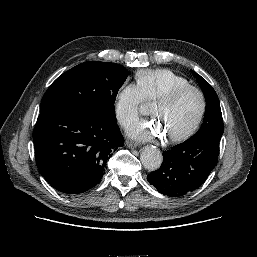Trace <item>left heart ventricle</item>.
I'll use <instances>...</instances> for the list:
<instances>
[{"label": "left heart ventricle", "mask_w": 257, "mask_h": 257, "mask_svg": "<svg viewBox=\"0 0 257 257\" xmlns=\"http://www.w3.org/2000/svg\"><path fill=\"white\" fill-rule=\"evenodd\" d=\"M200 109L196 93L188 92L172 104H153L151 113L159 119L168 137L187 130L195 121Z\"/></svg>", "instance_id": "b2bd125f"}]
</instances>
